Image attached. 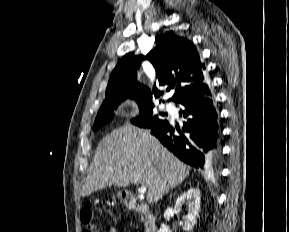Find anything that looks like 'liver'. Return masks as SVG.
<instances>
[{
    "instance_id": "obj_1",
    "label": "liver",
    "mask_w": 289,
    "mask_h": 232,
    "mask_svg": "<svg viewBox=\"0 0 289 232\" xmlns=\"http://www.w3.org/2000/svg\"><path fill=\"white\" fill-rule=\"evenodd\" d=\"M188 175L186 165L148 131L123 126L99 143L94 169L86 178L81 196L112 185L126 187L134 183L147 188V202L152 204Z\"/></svg>"
}]
</instances>
